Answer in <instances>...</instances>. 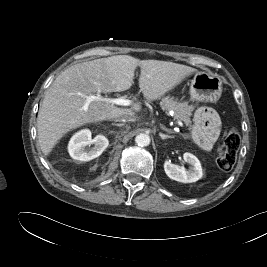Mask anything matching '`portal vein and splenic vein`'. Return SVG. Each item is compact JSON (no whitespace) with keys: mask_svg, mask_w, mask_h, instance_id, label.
<instances>
[{"mask_svg":"<svg viewBox=\"0 0 267 267\" xmlns=\"http://www.w3.org/2000/svg\"><path fill=\"white\" fill-rule=\"evenodd\" d=\"M104 101L107 103L115 104V105H122V106H129L132 105V101L127 99L126 96H122L119 98H105L102 97L100 93H97L96 96L88 97V101ZM177 124L183 127V123L181 121H177Z\"/></svg>","mask_w":267,"mask_h":267,"instance_id":"portal-vein-and-splenic-vein-1","label":"portal vein and splenic vein"}]
</instances>
